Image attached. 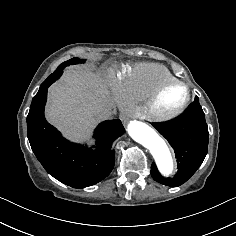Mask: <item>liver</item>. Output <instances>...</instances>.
<instances>
[{
  "label": "liver",
  "mask_w": 236,
  "mask_h": 236,
  "mask_svg": "<svg viewBox=\"0 0 236 236\" xmlns=\"http://www.w3.org/2000/svg\"><path fill=\"white\" fill-rule=\"evenodd\" d=\"M109 93L102 80L79 68H70L49 89L47 118L65 135L81 139L100 119L97 110L107 106Z\"/></svg>",
  "instance_id": "1"
}]
</instances>
